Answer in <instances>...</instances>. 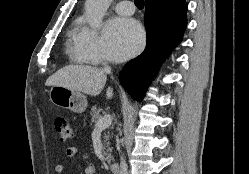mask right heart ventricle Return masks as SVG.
<instances>
[{
  "mask_svg": "<svg viewBox=\"0 0 249 174\" xmlns=\"http://www.w3.org/2000/svg\"><path fill=\"white\" fill-rule=\"evenodd\" d=\"M82 26H81V22L79 20L75 21L69 32H68V44H67V50H68V54L71 58V60L75 63H79V64H86L89 63L88 61H86L78 52L77 50V41L79 38V35L82 31Z\"/></svg>",
  "mask_w": 249,
  "mask_h": 174,
  "instance_id": "obj_1",
  "label": "right heart ventricle"
}]
</instances>
